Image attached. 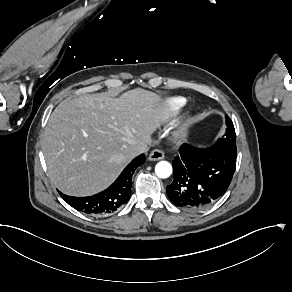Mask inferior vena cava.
I'll return each instance as SVG.
<instances>
[{"label":"inferior vena cava","instance_id":"obj_1","mask_svg":"<svg viewBox=\"0 0 292 292\" xmlns=\"http://www.w3.org/2000/svg\"><path fill=\"white\" fill-rule=\"evenodd\" d=\"M149 144H150V142L135 148L133 150V155L137 156V155L142 154V153H147L149 150Z\"/></svg>","mask_w":292,"mask_h":292}]
</instances>
